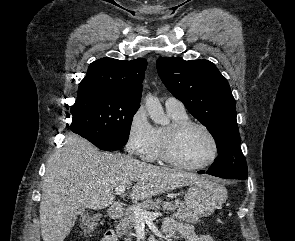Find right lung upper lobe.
Masks as SVG:
<instances>
[{"label": "right lung upper lobe", "instance_id": "cb5924a9", "mask_svg": "<svg viewBox=\"0 0 295 241\" xmlns=\"http://www.w3.org/2000/svg\"><path fill=\"white\" fill-rule=\"evenodd\" d=\"M146 66L144 58L121 61L106 57L96 60L89 65L79 84L77 99L93 91H103L140 104Z\"/></svg>", "mask_w": 295, "mask_h": 241}]
</instances>
